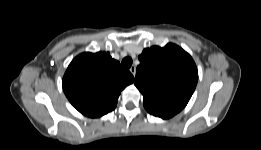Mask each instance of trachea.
<instances>
[{"label": "trachea", "mask_w": 261, "mask_h": 150, "mask_svg": "<svg viewBox=\"0 0 261 150\" xmlns=\"http://www.w3.org/2000/svg\"><path fill=\"white\" fill-rule=\"evenodd\" d=\"M122 65L123 67L125 68H130L131 65H132V59L130 57H125L123 60H122Z\"/></svg>", "instance_id": "3493384b"}]
</instances>
